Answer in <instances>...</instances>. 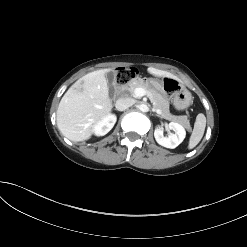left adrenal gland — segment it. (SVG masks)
Segmentation results:
<instances>
[{
  "label": "left adrenal gland",
  "mask_w": 247,
  "mask_h": 247,
  "mask_svg": "<svg viewBox=\"0 0 247 247\" xmlns=\"http://www.w3.org/2000/svg\"><path fill=\"white\" fill-rule=\"evenodd\" d=\"M154 111V110H153ZM157 117H160L158 114H156Z\"/></svg>",
  "instance_id": "a2214340"
}]
</instances>
